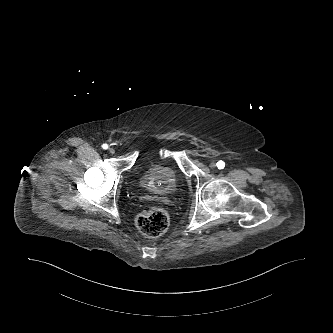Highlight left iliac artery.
Segmentation results:
<instances>
[{
  "instance_id": "1",
  "label": "left iliac artery",
  "mask_w": 333,
  "mask_h": 333,
  "mask_svg": "<svg viewBox=\"0 0 333 333\" xmlns=\"http://www.w3.org/2000/svg\"><path fill=\"white\" fill-rule=\"evenodd\" d=\"M218 169H223L225 167V162L220 160L217 162Z\"/></svg>"
}]
</instances>
